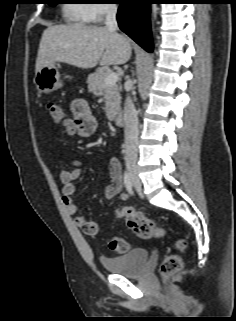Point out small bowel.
<instances>
[{
    "label": "small bowel",
    "instance_id": "small-bowel-1",
    "mask_svg": "<svg viewBox=\"0 0 236 321\" xmlns=\"http://www.w3.org/2000/svg\"><path fill=\"white\" fill-rule=\"evenodd\" d=\"M72 118L64 119L62 122V134L65 136H77L88 138L97 129V121L93 116L89 104L85 98H75L71 103ZM63 164V162H61ZM72 168H62L59 176L62 182V199L66 211L74 216V223L86 234L93 235L98 231V226L94 221H89L85 216L78 214V207L75 202L77 187L75 181L81 176L82 169L78 161L72 163ZM109 172L111 183L105 190V197L110 199L118 196L126 199L127 195L123 191L121 164L116 157L109 160Z\"/></svg>",
    "mask_w": 236,
    "mask_h": 321
}]
</instances>
